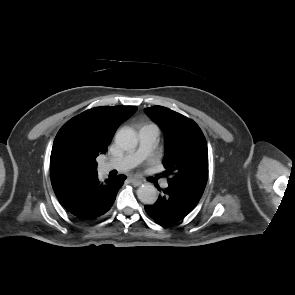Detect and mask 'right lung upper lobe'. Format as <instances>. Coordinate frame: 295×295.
I'll list each match as a JSON object with an SVG mask.
<instances>
[{"instance_id":"right-lung-upper-lobe-1","label":"right lung upper lobe","mask_w":295,"mask_h":295,"mask_svg":"<svg viewBox=\"0 0 295 295\" xmlns=\"http://www.w3.org/2000/svg\"><path fill=\"white\" fill-rule=\"evenodd\" d=\"M136 110L135 106L96 107L66 122L53 143L51 179L96 174L97 156L106 153L119 125Z\"/></svg>"}]
</instances>
